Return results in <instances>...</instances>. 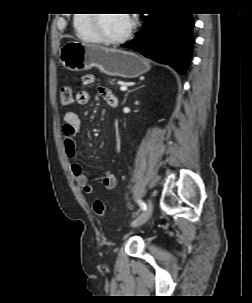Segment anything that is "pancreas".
I'll return each mask as SVG.
<instances>
[{"label": "pancreas", "mask_w": 252, "mask_h": 303, "mask_svg": "<svg viewBox=\"0 0 252 303\" xmlns=\"http://www.w3.org/2000/svg\"><path fill=\"white\" fill-rule=\"evenodd\" d=\"M114 79H111L110 81H109V83H110V85H114Z\"/></svg>", "instance_id": "1"}]
</instances>
